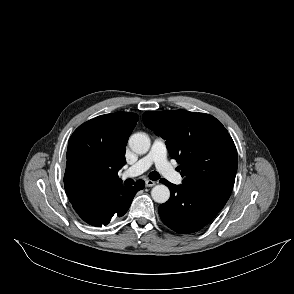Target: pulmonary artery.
I'll return each mask as SVG.
<instances>
[{"instance_id":"pulmonary-artery-1","label":"pulmonary artery","mask_w":294,"mask_h":294,"mask_svg":"<svg viewBox=\"0 0 294 294\" xmlns=\"http://www.w3.org/2000/svg\"><path fill=\"white\" fill-rule=\"evenodd\" d=\"M152 165L157 170L175 183L182 182V176L174 170L172 165L167 160V147L165 141L157 138L153 141L151 149L147 155L138 160L133 166L128 168L123 177H132L142 174L147 171Z\"/></svg>"}]
</instances>
